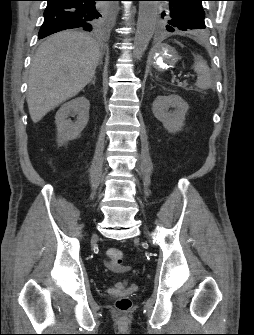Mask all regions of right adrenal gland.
Here are the masks:
<instances>
[{"label": "right adrenal gland", "instance_id": "right-adrenal-gland-1", "mask_svg": "<svg viewBox=\"0 0 254 335\" xmlns=\"http://www.w3.org/2000/svg\"><path fill=\"white\" fill-rule=\"evenodd\" d=\"M95 80H96V76L94 75L93 79L91 80L90 84L95 85Z\"/></svg>", "mask_w": 254, "mask_h": 335}]
</instances>
